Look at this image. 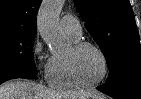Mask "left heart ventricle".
<instances>
[{"mask_svg":"<svg viewBox=\"0 0 141 99\" xmlns=\"http://www.w3.org/2000/svg\"><path fill=\"white\" fill-rule=\"evenodd\" d=\"M76 68L83 81L94 82L101 77L104 67L99 53L93 48L86 47L76 55Z\"/></svg>","mask_w":141,"mask_h":99,"instance_id":"left-heart-ventricle-1","label":"left heart ventricle"}]
</instances>
